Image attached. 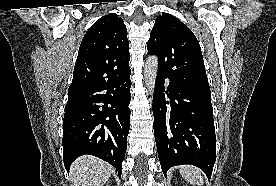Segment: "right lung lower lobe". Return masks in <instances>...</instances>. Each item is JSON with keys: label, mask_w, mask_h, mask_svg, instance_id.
Masks as SVG:
<instances>
[{"label": "right lung lower lobe", "mask_w": 276, "mask_h": 186, "mask_svg": "<svg viewBox=\"0 0 276 186\" xmlns=\"http://www.w3.org/2000/svg\"><path fill=\"white\" fill-rule=\"evenodd\" d=\"M130 74L100 87L69 91L63 119V160L67 171L81 155L114 166L119 177L130 126Z\"/></svg>", "instance_id": "1"}]
</instances>
